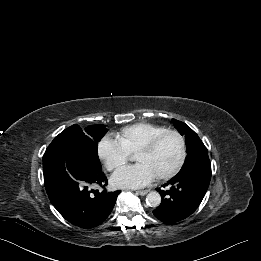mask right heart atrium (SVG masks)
<instances>
[{"instance_id":"d8ad5b80","label":"right heart atrium","mask_w":261,"mask_h":261,"mask_svg":"<svg viewBox=\"0 0 261 261\" xmlns=\"http://www.w3.org/2000/svg\"><path fill=\"white\" fill-rule=\"evenodd\" d=\"M99 158L105 168L113 171L122 166L128 159L129 153L120 141L111 135L103 136L97 146Z\"/></svg>"}]
</instances>
